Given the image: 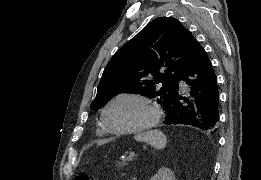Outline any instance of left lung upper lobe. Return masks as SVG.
Here are the masks:
<instances>
[{"mask_svg": "<svg viewBox=\"0 0 261 180\" xmlns=\"http://www.w3.org/2000/svg\"><path fill=\"white\" fill-rule=\"evenodd\" d=\"M197 46L192 34L176 19H154L111 58L91 108L97 111L114 95L133 93L156 98L165 109Z\"/></svg>", "mask_w": 261, "mask_h": 180, "instance_id": "1", "label": "left lung upper lobe"}]
</instances>
